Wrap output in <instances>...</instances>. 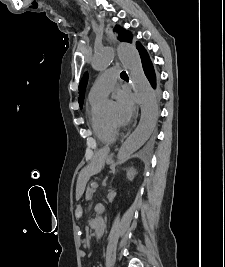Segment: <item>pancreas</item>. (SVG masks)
<instances>
[{
	"mask_svg": "<svg viewBox=\"0 0 225 267\" xmlns=\"http://www.w3.org/2000/svg\"><path fill=\"white\" fill-rule=\"evenodd\" d=\"M95 189H94V183H90V185L88 186L87 188V191H86V199L87 200H90L93 196V193H94Z\"/></svg>",
	"mask_w": 225,
	"mask_h": 267,
	"instance_id": "obj_1",
	"label": "pancreas"
}]
</instances>
